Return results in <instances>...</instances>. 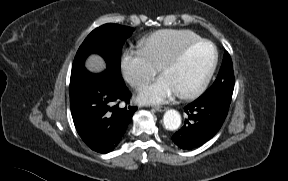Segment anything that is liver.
I'll list each match as a JSON object with an SVG mask.
<instances>
[{"label":"liver","instance_id":"liver-1","mask_svg":"<svg viewBox=\"0 0 288 181\" xmlns=\"http://www.w3.org/2000/svg\"><path fill=\"white\" fill-rule=\"evenodd\" d=\"M86 68L92 72H100L105 68V62L99 55H91L86 61Z\"/></svg>","mask_w":288,"mask_h":181}]
</instances>
